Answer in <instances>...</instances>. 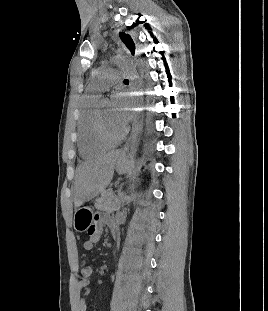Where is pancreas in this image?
Listing matches in <instances>:
<instances>
[{"instance_id": "1", "label": "pancreas", "mask_w": 268, "mask_h": 311, "mask_svg": "<svg viewBox=\"0 0 268 311\" xmlns=\"http://www.w3.org/2000/svg\"><path fill=\"white\" fill-rule=\"evenodd\" d=\"M121 197L117 198L113 192L106 191L96 200L95 207L98 210L114 212L120 209Z\"/></svg>"}]
</instances>
